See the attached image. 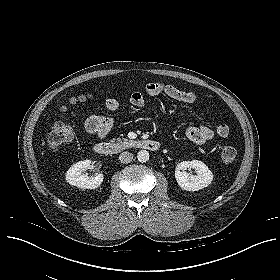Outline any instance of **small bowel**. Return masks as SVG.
<instances>
[{"instance_id":"small-bowel-1","label":"small bowel","mask_w":280,"mask_h":280,"mask_svg":"<svg viewBox=\"0 0 280 280\" xmlns=\"http://www.w3.org/2000/svg\"><path fill=\"white\" fill-rule=\"evenodd\" d=\"M145 92L149 96L164 94L171 99L188 104L195 102L198 98V94L194 91L181 90L173 85L161 82L147 83ZM130 103L136 108H143L145 106L143 94L134 92L130 97ZM104 108L107 112L115 113L119 109V102L114 98H108L105 100ZM113 124L114 118L112 116H103L99 111L91 113L85 122V126L89 130L90 126L94 125L100 136H105L111 130ZM230 133V126L226 123H221L215 128L201 124L196 127H189L186 136L190 144L199 145L211 140L214 136L226 138Z\"/></svg>"}]
</instances>
